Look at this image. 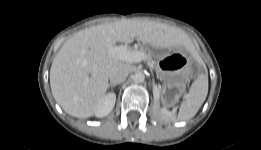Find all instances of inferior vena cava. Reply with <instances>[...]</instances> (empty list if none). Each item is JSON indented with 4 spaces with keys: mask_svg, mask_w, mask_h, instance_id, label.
Here are the masks:
<instances>
[{
    "mask_svg": "<svg viewBox=\"0 0 261 150\" xmlns=\"http://www.w3.org/2000/svg\"><path fill=\"white\" fill-rule=\"evenodd\" d=\"M128 68L125 64H118L109 71V78L112 83H122L128 76Z\"/></svg>",
    "mask_w": 261,
    "mask_h": 150,
    "instance_id": "obj_1",
    "label": "inferior vena cava"
}]
</instances>
